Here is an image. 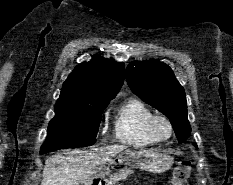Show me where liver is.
Here are the masks:
<instances>
[{"mask_svg":"<svg viewBox=\"0 0 233 185\" xmlns=\"http://www.w3.org/2000/svg\"><path fill=\"white\" fill-rule=\"evenodd\" d=\"M126 146L112 145L90 150H75L49 157L41 185H79L99 173Z\"/></svg>","mask_w":233,"mask_h":185,"instance_id":"obj_1","label":"liver"}]
</instances>
